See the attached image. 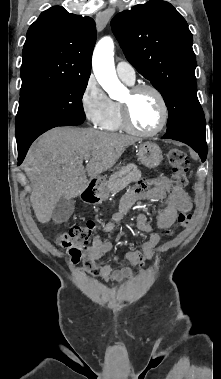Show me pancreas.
<instances>
[{"label":"pancreas","instance_id":"1","mask_svg":"<svg viewBox=\"0 0 221 379\" xmlns=\"http://www.w3.org/2000/svg\"><path fill=\"white\" fill-rule=\"evenodd\" d=\"M141 178V172L135 164H128L112 174L108 180L107 188L111 192H117L132 182Z\"/></svg>","mask_w":221,"mask_h":379}]
</instances>
